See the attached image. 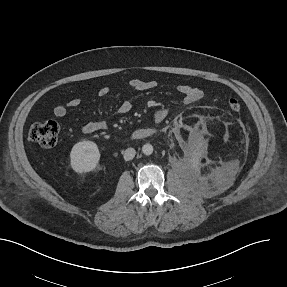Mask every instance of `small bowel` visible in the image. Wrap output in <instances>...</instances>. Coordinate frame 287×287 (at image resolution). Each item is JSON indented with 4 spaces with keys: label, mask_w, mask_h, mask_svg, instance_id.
<instances>
[{
    "label": "small bowel",
    "mask_w": 287,
    "mask_h": 287,
    "mask_svg": "<svg viewBox=\"0 0 287 287\" xmlns=\"http://www.w3.org/2000/svg\"><path fill=\"white\" fill-rule=\"evenodd\" d=\"M129 86L136 91H149L157 87V83L152 80H144L140 78H132L129 80ZM110 88L104 86L100 88L99 95L106 96L110 93ZM177 91L182 95L183 101L186 104H193L200 101L204 93L203 91L192 85L181 84L177 86ZM80 104L78 98L70 99L66 104L59 103L54 107V115L56 117H64L67 113V108H74ZM132 109V103L129 100H124L117 108L116 113L119 115L127 114ZM169 114L168 108H160L154 114V121L156 124H161L165 121ZM108 123L105 121H91L82 126V132L85 134H92L98 131L106 130Z\"/></svg>",
    "instance_id": "obj_1"
}]
</instances>
